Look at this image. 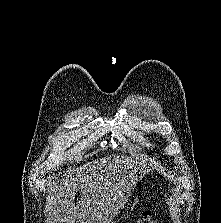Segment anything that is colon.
I'll return each instance as SVG.
<instances>
[{
	"instance_id": "colon-1",
	"label": "colon",
	"mask_w": 221,
	"mask_h": 223,
	"mask_svg": "<svg viewBox=\"0 0 221 223\" xmlns=\"http://www.w3.org/2000/svg\"><path fill=\"white\" fill-rule=\"evenodd\" d=\"M135 223H156V215L151 210L143 212L141 218Z\"/></svg>"
}]
</instances>
